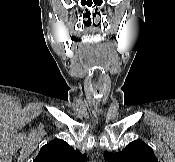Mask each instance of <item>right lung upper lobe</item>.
<instances>
[{
    "label": "right lung upper lobe",
    "instance_id": "obj_1",
    "mask_svg": "<svg viewBox=\"0 0 175 162\" xmlns=\"http://www.w3.org/2000/svg\"><path fill=\"white\" fill-rule=\"evenodd\" d=\"M87 155L74 150L62 139L44 145L33 162H86Z\"/></svg>",
    "mask_w": 175,
    "mask_h": 162
}]
</instances>
